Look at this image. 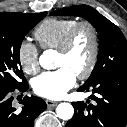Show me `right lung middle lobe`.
Returning <instances> with one entry per match:
<instances>
[{"label": "right lung middle lobe", "instance_id": "obj_1", "mask_svg": "<svg viewBox=\"0 0 127 127\" xmlns=\"http://www.w3.org/2000/svg\"><path fill=\"white\" fill-rule=\"evenodd\" d=\"M46 14H0V89H14L27 83L20 64L21 42Z\"/></svg>", "mask_w": 127, "mask_h": 127}]
</instances>
